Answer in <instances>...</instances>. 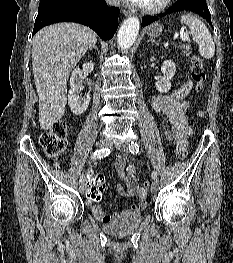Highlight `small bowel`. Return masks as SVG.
<instances>
[{
  "label": "small bowel",
  "mask_w": 233,
  "mask_h": 263,
  "mask_svg": "<svg viewBox=\"0 0 233 263\" xmlns=\"http://www.w3.org/2000/svg\"><path fill=\"white\" fill-rule=\"evenodd\" d=\"M192 89L191 81H182L176 88L167 94L156 95L151 99L152 109L160 116L161 125L166 138L175 146L176 153L179 154L182 150H187L188 139L192 135V129L188 124L186 111L188 102L186 97ZM114 167L124 182L125 186L118 184L116 187L117 193L123 198L137 197L138 201L132 205V210L140 211L145 208L146 192L138 184L134 175L133 166L127 165V155L118 153L114 158ZM96 175V174H91ZM91 211L96 219L102 223H107L113 220L117 215H109L104 209L89 202Z\"/></svg>",
  "instance_id": "1"
}]
</instances>
